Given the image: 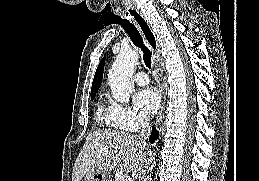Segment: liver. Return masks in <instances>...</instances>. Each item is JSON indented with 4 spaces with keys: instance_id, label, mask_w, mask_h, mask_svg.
Instances as JSON below:
<instances>
[{
    "instance_id": "obj_1",
    "label": "liver",
    "mask_w": 259,
    "mask_h": 181,
    "mask_svg": "<svg viewBox=\"0 0 259 181\" xmlns=\"http://www.w3.org/2000/svg\"><path fill=\"white\" fill-rule=\"evenodd\" d=\"M151 153L136 136L118 130H97L89 134L79 153L72 173V181H81L94 170L109 173L114 169L141 177L151 160Z\"/></svg>"
}]
</instances>
